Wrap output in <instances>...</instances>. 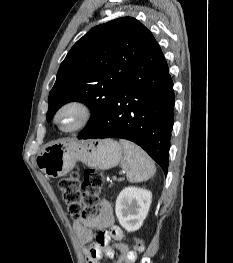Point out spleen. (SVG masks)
Masks as SVG:
<instances>
[{
  "instance_id": "obj_1",
  "label": "spleen",
  "mask_w": 233,
  "mask_h": 263,
  "mask_svg": "<svg viewBox=\"0 0 233 263\" xmlns=\"http://www.w3.org/2000/svg\"><path fill=\"white\" fill-rule=\"evenodd\" d=\"M124 149L121 167L130 182H142L155 175L156 168L148 154L137 145L127 140H120Z\"/></svg>"
}]
</instances>
